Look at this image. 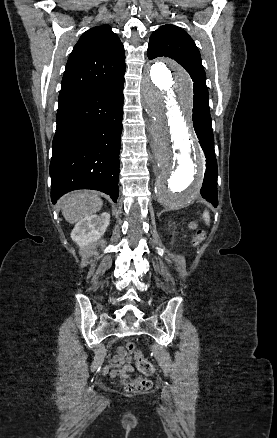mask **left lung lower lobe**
Returning a JSON list of instances; mask_svg holds the SVG:
<instances>
[{
  "label": "left lung lower lobe",
  "instance_id": "obj_1",
  "mask_svg": "<svg viewBox=\"0 0 277 438\" xmlns=\"http://www.w3.org/2000/svg\"><path fill=\"white\" fill-rule=\"evenodd\" d=\"M193 126L206 157L207 168L200 193L204 199L211 202L214 207H217L218 170L210 113L193 109Z\"/></svg>",
  "mask_w": 277,
  "mask_h": 438
}]
</instances>
